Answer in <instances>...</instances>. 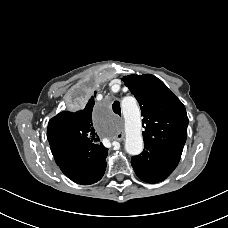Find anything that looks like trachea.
Masks as SVG:
<instances>
[{"mask_svg": "<svg viewBox=\"0 0 228 228\" xmlns=\"http://www.w3.org/2000/svg\"><path fill=\"white\" fill-rule=\"evenodd\" d=\"M113 112L121 116V107L118 101H115L112 105Z\"/></svg>", "mask_w": 228, "mask_h": 228, "instance_id": "trachea-1", "label": "trachea"}]
</instances>
